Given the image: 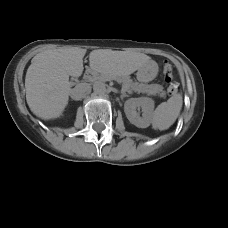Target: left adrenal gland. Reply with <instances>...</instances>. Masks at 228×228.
Returning <instances> with one entry per match:
<instances>
[{
	"label": "left adrenal gland",
	"instance_id": "1",
	"mask_svg": "<svg viewBox=\"0 0 228 228\" xmlns=\"http://www.w3.org/2000/svg\"><path fill=\"white\" fill-rule=\"evenodd\" d=\"M125 97H128V95L126 93H122L121 94V100H123Z\"/></svg>",
	"mask_w": 228,
	"mask_h": 228
}]
</instances>
